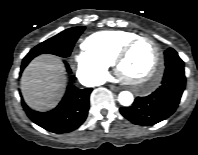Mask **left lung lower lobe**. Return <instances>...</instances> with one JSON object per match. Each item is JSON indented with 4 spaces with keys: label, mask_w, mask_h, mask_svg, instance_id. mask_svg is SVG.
Listing matches in <instances>:
<instances>
[{
    "label": "left lung lower lobe",
    "mask_w": 198,
    "mask_h": 155,
    "mask_svg": "<svg viewBox=\"0 0 198 155\" xmlns=\"http://www.w3.org/2000/svg\"><path fill=\"white\" fill-rule=\"evenodd\" d=\"M184 64H170L161 86L146 97H137L121 114L137 125L149 126L170 117L177 109L185 88Z\"/></svg>",
    "instance_id": "obj_1"
}]
</instances>
